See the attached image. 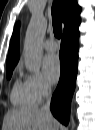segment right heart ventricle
<instances>
[{"label": "right heart ventricle", "mask_w": 95, "mask_h": 130, "mask_svg": "<svg viewBox=\"0 0 95 130\" xmlns=\"http://www.w3.org/2000/svg\"><path fill=\"white\" fill-rule=\"evenodd\" d=\"M11 101L16 107L20 108H30L37 104L26 81L20 80H17L13 85Z\"/></svg>", "instance_id": "e07e8e85"}]
</instances>
